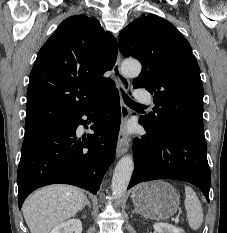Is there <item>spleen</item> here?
<instances>
[{
	"label": "spleen",
	"mask_w": 227,
	"mask_h": 233,
	"mask_svg": "<svg viewBox=\"0 0 227 233\" xmlns=\"http://www.w3.org/2000/svg\"><path fill=\"white\" fill-rule=\"evenodd\" d=\"M185 196V208L189 226L193 230H198L203 223V209L200 200L189 186H185Z\"/></svg>",
	"instance_id": "3e777b00"
}]
</instances>
